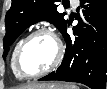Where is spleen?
<instances>
[{
    "instance_id": "obj_1",
    "label": "spleen",
    "mask_w": 107,
    "mask_h": 89,
    "mask_svg": "<svg viewBox=\"0 0 107 89\" xmlns=\"http://www.w3.org/2000/svg\"><path fill=\"white\" fill-rule=\"evenodd\" d=\"M65 89H79L75 84H66Z\"/></svg>"
}]
</instances>
